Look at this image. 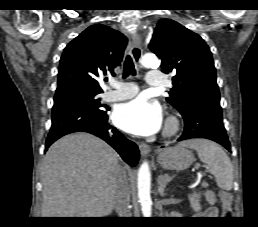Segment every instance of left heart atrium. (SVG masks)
I'll return each instance as SVG.
<instances>
[{
  "label": "left heart atrium",
  "mask_w": 258,
  "mask_h": 227,
  "mask_svg": "<svg viewBox=\"0 0 258 227\" xmlns=\"http://www.w3.org/2000/svg\"><path fill=\"white\" fill-rule=\"evenodd\" d=\"M115 124L129 133L148 136L162 125V110L157 102L138 97L123 103L114 113Z\"/></svg>",
  "instance_id": "obj_1"
}]
</instances>
